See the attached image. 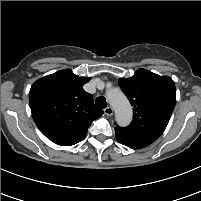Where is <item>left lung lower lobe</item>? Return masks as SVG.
<instances>
[{"label":"left lung lower lobe","mask_w":201,"mask_h":201,"mask_svg":"<svg viewBox=\"0 0 201 201\" xmlns=\"http://www.w3.org/2000/svg\"><path fill=\"white\" fill-rule=\"evenodd\" d=\"M115 136L121 144L128 146L131 149H141L149 146L155 141L150 138L127 135L118 129H115Z\"/></svg>","instance_id":"0a47b994"}]
</instances>
